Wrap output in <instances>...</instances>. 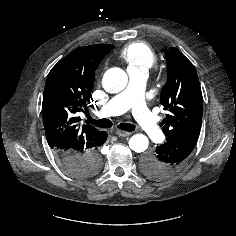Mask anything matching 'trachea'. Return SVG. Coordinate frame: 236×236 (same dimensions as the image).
Masks as SVG:
<instances>
[{
	"label": "trachea",
	"mask_w": 236,
	"mask_h": 236,
	"mask_svg": "<svg viewBox=\"0 0 236 236\" xmlns=\"http://www.w3.org/2000/svg\"><path fill=\"white\" fill-rule=\"evenodd\" d=\"M87 123H91L99 128H111L112 122L109 119H99L95 120L88 116ZM118 128L127 132H132L135 130V126L130 123H120Z\"/></svg>",
	"instance_id": "trachea-1"
}]
</instances>
